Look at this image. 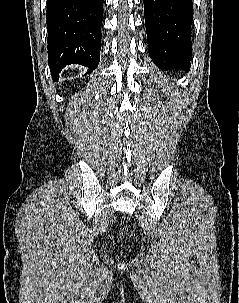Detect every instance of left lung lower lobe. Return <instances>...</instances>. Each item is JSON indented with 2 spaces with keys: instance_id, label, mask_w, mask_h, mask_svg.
<instances>
[{
  "instance_id": "obj_1",
  "label": "left lung lower lobe",
  "mask_w": 239,
  "mask_h": 303,
  "mask_svg": "<svg viewBox=\"0 0 239 303\" xmlns=\"http://www.w3.org/2000/svg\"><path fill=\"white\" fill-rule=\"evenodd\" d=\"M148 51L162 70H190L192 0H143Z\"/></svg>"
}]
</instances>
